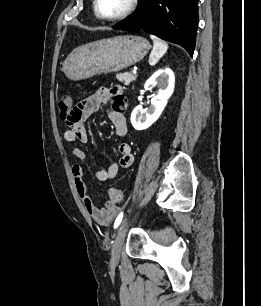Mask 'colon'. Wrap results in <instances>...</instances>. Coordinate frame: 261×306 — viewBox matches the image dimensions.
Masks as SVG:
<instances>
[{"label":"colon","mask_w":261,"mask_h":306,"mask_svg":"<svg viewBox=\"0 0 261 306\" xmlns=\"http://www.w3.org/2000/svg\"><path fill=\"white\" fill-rule=\"evenodd\" d=\"M58 108H59L60 118L62 120H66L70 116L73 110L72 99L67 95L62 96L59 99ZM109 196L110 199L115 203L120 202L123 198V194L119 189H111L109 192Z\"/></svg>","instance_id":"colon-1"}]
</instances>
